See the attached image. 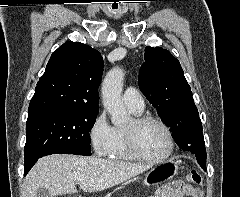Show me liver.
<instances>
[{"label":"liver","instance_id":"1","mask_svg":"<svg viewBox=\"0 0 240 197\" xmlns=\"http://www.w3.org/2000/svg\"><path fill=\"white\" fill-rule=\"evenodd\" d=\"M150 166L98 157L54 154L39 159L24 183V197H37L45 188L50 195L77 193L78 184L84 192L102 191L139 175Z\"/></svg>","mask_w":240,"mask_h":197}]
</instances>
